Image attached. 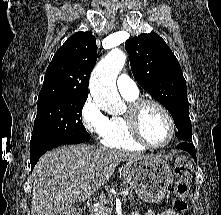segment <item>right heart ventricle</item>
Here are the masks:
<instances>
[{"label": "right heart ventricle", "instance_id": "right-heart-ventricle-1", "mask_svg": "<svg viewBox=\"0 0 221 215\" xmlns=\"http://www.w3.org/2000/svg\"><path fill=\"white\" fill-rule=\"evenodd\" d=\"M128 102L138 98L137 95H122ZM104 145L127 151H142L145 146L138 143L130 133L125 115H112L108 118V130L102 137Z\"/></svg>", "mask_w": 221, "mask_h": 215}]
</instances>
